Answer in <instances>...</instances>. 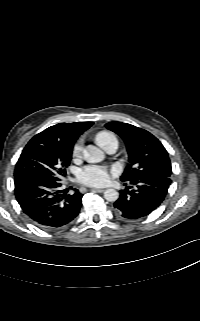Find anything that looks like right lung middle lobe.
<instances>
[{
	"mask_svg": "<svg viewBox=\"0 0 200 321\" xmlns=\"http://www.w3.org/2000/svg\"><path fill=\"white\" fill-rule=\"evenodd\" d=\"M71 152L45 139L33 137L18 159L15 174L42 175L60 182L66 176Z\"/></svg>",
	"mask_w": 200,
	"mask_h": 321,
	"instance_id": "dd1d6c3e",
	"label": "right lung middle lobe"
}]
</instances>
